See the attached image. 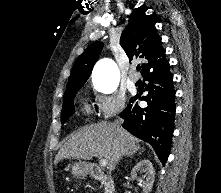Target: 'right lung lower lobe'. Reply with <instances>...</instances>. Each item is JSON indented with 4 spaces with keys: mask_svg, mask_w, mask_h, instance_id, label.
Returning a JSON list of instances; mask_svg holds the SVG:
<instances>
[{
    "mask_svg": "<svg viewBox=\"0 0 221 193\" xmlns=\"http://www.w3.org/2000/svg\"><path fill=\"white\" fill-rule=\"evenodd\" d=\"M148 81V95L132 97L129 105L120 113L123 128L134 136L148 142L164 165L171 149L175 117V90L169 65L144 76ZM140 100L148 103L146 108L138 106Z\"/></svg>",
    "mask_w": 221,
    "mask_h": 193,
    "instance_id": "98d812e1",
    "label": "right lung lower lobe"
}]
</instances>
